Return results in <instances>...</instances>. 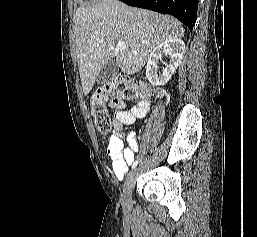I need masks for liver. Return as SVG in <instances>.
Returning <instances> with one entry per match:
<instances>
[{
    "label": "liver",
    "mask_w": 257,
    "mask_h": 237,
    "mask_svg": "<svg viewBox=\"0 0 257 237\" xmlns=\"http://www.w3.org/2000/svg\"><path fill=\"white\" fill-rule=\"evenodd\" d=\"M74 33L79 74L87 95L108 62L115 61L127 75L135 74L158 44L182 38L184 29L172 16L129 7L118 0H99L77 9ZM117 41L125 42L127 48L117 49Z\"/></svg>",
    "instance_id": "obj_1"
}]
</instances>
